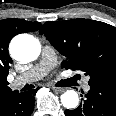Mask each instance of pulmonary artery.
Wrapping results in <instances>:
<instances>
[{"instance_id":"obj_1","label":"pulmonary artery","mask_w":116,"mask_h":116,"mask_svg":"<svg viewBox=\"0 0 116 116\" xmlns=\"http://www.w3.org/2000/svg\"><path fill=\"white\" fill-rule=\"evenodd\" d=\"M56 65V56L53 48L50 45H45L42 48V59L35 66L28 69L23 74L17 76L11 83L13 88L21 87L27 83L35 82L45 77L51 69ZM83 89L88 92L90 90L89 78L83 80Z\"/></svg>"}]
</instances>
